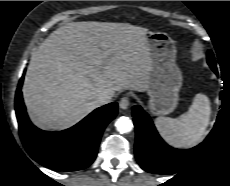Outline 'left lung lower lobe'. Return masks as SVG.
<instances>
[{"label":"left lung lower lobe","mask_w":230,"mask_h":186,"mask_svg":"<svg viewBox=\"0 0 230 186\" xmlns=\"http://www.w3.org/2000/svg\"><path fill=\"white\" fill-rule=\"evenodd\" d=\"M132 115L136 131L135 156L140 166L150 173L177 172L203 151L213 133L192 149H174L161 139L149 115L140 106L133 107Z\"/></svg>","instance_id":"1"}]
</instances>
